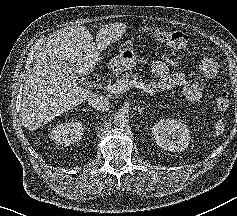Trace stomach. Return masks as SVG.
Listing matches in <instances>:
<instances>
[{
	"label": "stomach",
	"instance_id": "0dacf381",
	"mask_svg": "<svg viewBox=\"0 0 237 216\" xmlns=\"http://www.w3.org/2000/svg\"><path fill=\"white\" fill-rule=\"evenodd\" d=\"M137 62L138 53L133 48H126L112 59L110 66L118 71H127L134 68Z\"/></svg>",
	"mask_w": 237,
	"mask_h": 216
}]
</instances>
